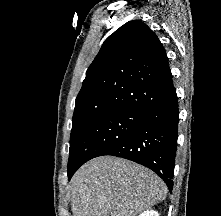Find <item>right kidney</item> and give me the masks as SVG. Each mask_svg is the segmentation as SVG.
<instances>
[{
    "instance_id": "1",
    "label": "right kidney",
    "mask_w": 221,
    "mask_h": 216,
    "mask_svg": "<svg viewBox=\"0 0 221 216\" xmlns=\"http://www.w3.org/2000/svg\"><path fill=\"white\" fill-rule=\"evenodd\" d=\"M139 216H160L155 210H147L141 213Z\"/></svg>"
}]
</instances>
